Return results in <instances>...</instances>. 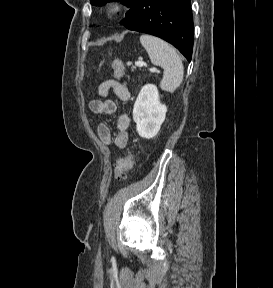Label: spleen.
I'll list each match as a JSON object with an SVG mask.
<instances>
[{"label": "spleen", "instance_id": "1", "mask_svg": "<svg viewBox=\"0 0 273 288\" xmlns=\"http://www.w3.org/2000/svg\"><path fill=\"white\" fill-rule=\"evenodd\" d=\"M140 42L146 49L151 62L163 68L160 88L173 93L183 80V64L176 50L166 41L152 35H141Z\"/></svg>", "mask_w": 273, "mask_h": 288}]
</instances>
